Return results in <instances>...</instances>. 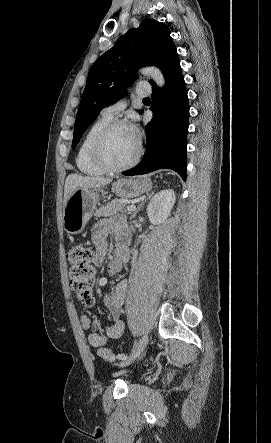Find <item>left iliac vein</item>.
<instances>
[{
  "mask_svg": "<svg viewBox=\"0 0 271 443\" xmlns=\"http://www.w3.org/2000/svg\"><path fill=\"white\" fill-rule=\"evenodd\" d=\"M147 343H148V336L144 335L140 339V341L136 344V346L133 348L130 357H128L125 361H121L119 363V366L124 367V366L131 364L137 357H139L141 355V353L145 349Z\"/></svg>",
  "mask_w": 271,
  "mask_h": 443,
  "instance_id": "4c4485c4",
  "label": "left iliac vein"
}]
</instances>
